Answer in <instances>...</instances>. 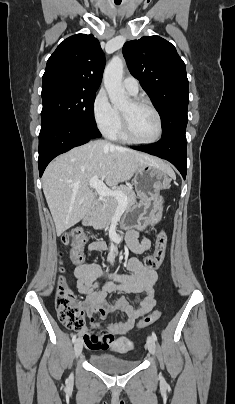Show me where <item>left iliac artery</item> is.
I'll use <instances>...</instances> for the list:
<instances>
[{"mask_svg": "<svg viewBox=\"0 0 235 404\" xmlns=\"http://www.w3.org/2000/svg\"><path fill=\"white\" fill-rule=\"evenodd\" d=\"M152 337H153V339H154L155 341H157V336H156V334H155L154 332H152Z\"/></svg>", "mask_w": 235, "mask_h": 404, "instance_id": "1", "label": "left iliac artery"}]
</instances>
